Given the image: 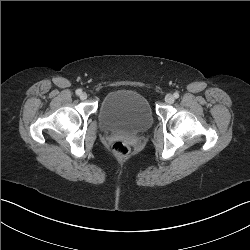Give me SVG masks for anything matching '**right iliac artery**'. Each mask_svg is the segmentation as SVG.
Segmentation results:
<instances>
[{
	"instance_id": "obj_1",
	"label": "right iliac artery",
	"mask_w": 250,
	"mask_h": 250,
	"mask_svg": "<svg viewBox=\"0 0 250 250\" xmlns=\"http://www.w3.org/2000/svg\"><path fill=\"white\" fill-rule=\"evenodd\" d=\"M81 93H82V90H81V89H77V90H76V94H77V95H80Z\"/></svg>"
}]
</instances>
